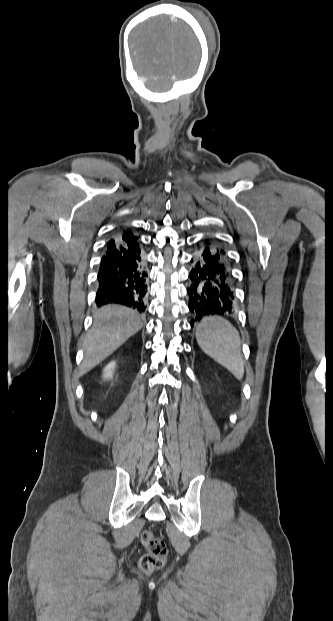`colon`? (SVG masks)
<instances>
[{"label":"colon","instance_id":"colon-1","mask_svg":"<svg viewBox=\"0 0 333 621\" xmlns=\"http://www.w3.org/2000/svg\"><path fill=\"white\" fill-rule=\"evenodd\" d=\"M141 542L146 549V554L140 558V569L147 574L161 569L166 563L167 556L164 540L155 536L151 531L145 530L141 534Z\"/></svg>","mask_w":333,"mask_h":621}]
</instances>
